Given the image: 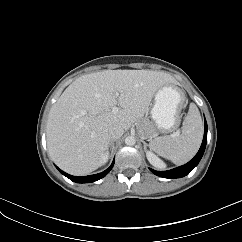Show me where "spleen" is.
Returning <instances> with one entry per match:
<instances>
[{
  "label": "spleen",
  "instance_id": "3e777b00",
  "mask_svg": "<svg viewBox=\"0 0 242 242\" xmlns=\"http://www.w3.org/2000/svg\"><path fill=\"white\" fill-rule=\"evenodd\" d=\"M203 130L199 110L191 103L181 133L158 137L151 141L150 148L174 164L182 165L197 153L202 142Z\"/></svg>",
  "mask_w": 242,
  "mask_h": 242
}]
</instances>
